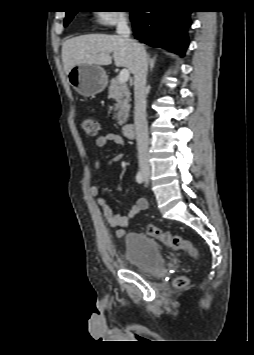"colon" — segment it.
Segmentation results:
<instances>
[{"mask_svg": "<svg viewBox=\"0 0 254 355\" xmlns=\"http://www.w3.org/2000/svg\"><path fill=\"white\" fill-rule=\"evenodd\" d=\"M82 126L85 133L89 136H95L98 133V124L92 118L84 119L82 122ZM145 231L148 235L160 240L161 242L175 250H184L193 259H197L199 256L197 248L190 241L179 235L164 231L153 225L146 226ZM187 283L188 279L186 277H179L175 281V285L179 288L185 287Z\"/></svg>", "mask_w": 254, "mask_h": 355, "instance_id": "5ec220e1", "label": "colon"}]
</instances>
